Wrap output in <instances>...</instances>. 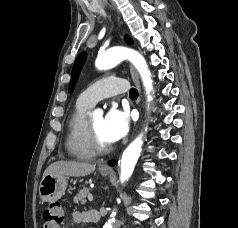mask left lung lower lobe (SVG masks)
I'll list each match as a JSON object with an SVG mask.
<instances>
[{"mask_svg":"<svg viewBox=\"0 0 238 228\" xmlns=\"http://www.w3.org/2000/svg\"><path fill=\"white\" fill-rule=\"evenodd\" d=\"M108 164L112 166L115 165V160L110 161Z\"/></svg>","mask_w":238,"mask_h":228,"instance_id":"obj_1","label":"left lung lower lobe"}]
</instances>
